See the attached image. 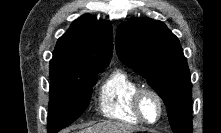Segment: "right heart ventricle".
I'll return each mask as SVG.
<instances>
[{
	"label": "right heart ventricle",
	"mask_w": 221,
	"mask_h": 133,
	"mask_svg": "<svg viewBox=\"0 0 221 133\" xmlns=\"http://www.w3.org/2000/svg\"><path fill=\"white\" fill-rule=\"evenodd\" d=\"M139 88V82L128 72L113 71L99 88L98 106L102 115L125 123H140L132 106L133 96Z\"/></svg>",
	"instance_id": "obj_1"
}]
</instances>
